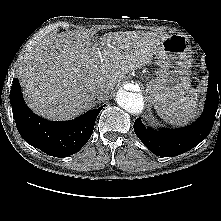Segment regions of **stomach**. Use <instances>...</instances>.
Returning <instances> with one entry per match:
<instances>
[{"label":"stomach","mask_w":221,"mask_h":221,"mask_svg":"<svg viewBox=\"0 0 221 221\" xmlns=\"http://www.w3.org/2000/svg\"><path fill=\"white\" fill-rule=\"evenodd\" d=\"M191 54L190 41L184 35L173 34L161 42L156 55L159 66L157 76L147 85L155 107L178 103L188 94L191 86Z\"/></svg>","instance_id":"stomach-1"}]
</instances>
